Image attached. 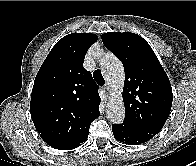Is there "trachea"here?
Returning <instances> with one entry per match:
<instances>
[{"label":"trachea","instance_id":"trachea-1","mask_svg":"<svg viewBox=\"0 0 196 166\" xmlns=\"http://www.w3.org/2000/svg\"><path fill=\"white\" fill-rule=\"evenodd\" d=\"M93 77L95 79V81L99 84V85H104L105 84V80L101 74V72L99 70H95L93 73Z\"/></svg>","mask_w":196,"mask_h":166}]
</instances>
